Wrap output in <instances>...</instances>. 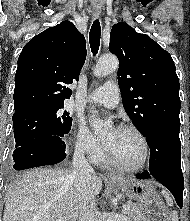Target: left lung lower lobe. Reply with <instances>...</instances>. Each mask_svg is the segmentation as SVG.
I'll use <instances>...</instances> for the list:
<instances>
[{
  "label": "left lung lower lobe",
  "instance_id": "0a47b994",
  "mask_svg": "<svg viewBox=\"0 0 190 221\" xmlns=\"http://www.w3.org/2000/svg\"><path fill=\"white\" fill-rule=\"evenodd\" d=\"M179 131L180 126L163 124L154 127L146 134L150 147L149 171L136 175V178H155L170 190L182 208L184 179L180 162Z\"/></svg>",
  "mask_w": 190,
  "mask_h": 221
}]
</instances>
